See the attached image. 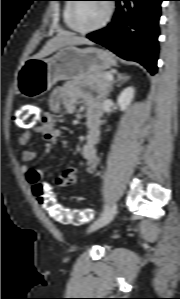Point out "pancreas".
I'll list each match as a JSON object with an SVG mask.
<instances>
[{
  "mask_svg": "<svg viewBox=\"0 0 180 299\" xmlns=\"http://www.w3.org/2000/svg\"><path fill=\"white\" fill-rule=\"evenodd\" d=\"M110 72H95L85 75L82 80L92 90L97 91L103 97L108 94L111 82L106 79Z\"/></svg>",
  "mask_w": 180,
  "mask_h": 299,
  "instance_id": "pancreas-1",
  "label": "pancreas"
}]
</instances>
